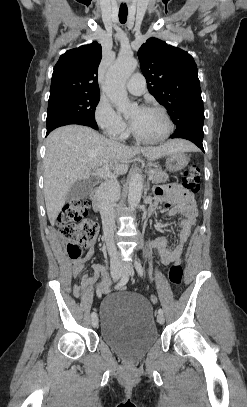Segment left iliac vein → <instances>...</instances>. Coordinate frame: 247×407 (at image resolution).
Masks as SVG:
<instances>
[{"label":"left iliac vein","mask_w":247,"mask_h":407,"mask_svg":"<svg viewBox=\"0 0 247 407\" xmlns=\"http://www.w3.org/2000/svg\"><path fill=\"white\" fill-rule=\"evenodd\" d=\"M124 271L128 272L131 276L134 275V270L133 267L130 263H125L124 264ZM157 321L159 324H163L165 322V318L163 314H158L157 315Z\"/></svg>","instance_id":"4c4485c4"}]
</instances>
